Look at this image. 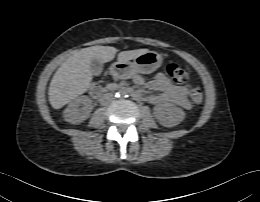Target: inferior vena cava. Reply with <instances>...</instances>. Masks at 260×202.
I'll use <instances>...</instances> for the list:
<instances>
[{"mask_svg":"<svg viewBox=\"0 0 260 202\" xmlns=\"http://www.w3.org/2000/svg\"><path fill=\"white\" fill-rule=\"evenodd\" d=\"M114 95L112 93L104 94L101 98V104L102 105H108L114 100Z\"/></svg>","mask_w":260,"mask_h":202,"instance_id":"1","label":"inferior vena cava"}]
</instances>
